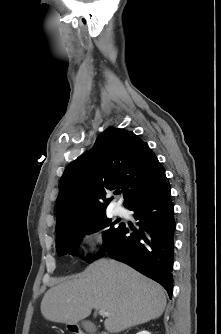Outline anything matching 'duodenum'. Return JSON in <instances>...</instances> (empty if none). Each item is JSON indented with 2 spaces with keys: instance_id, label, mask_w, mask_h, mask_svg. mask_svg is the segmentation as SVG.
Here are the masks:
<instances>
[{
  "instance_id": "duodenum-1",
  "label": "duodenum",
  "mask_w": 221,
  "mask_h": 334,
  "mask_svg": "<svg viewBox=\"0 0 221 334\" xmlns=\"http://www.w3.org/2000/svg\"><path fill=\"white\" fill-rule=\"evenodd\" d=\"M74 334H84L83 332H81L80 330H78V329H75L74 330ZM100 334H106V333H104V332H101Z\"/></svg>"
}]
</instances>
